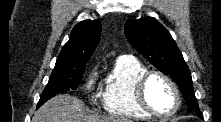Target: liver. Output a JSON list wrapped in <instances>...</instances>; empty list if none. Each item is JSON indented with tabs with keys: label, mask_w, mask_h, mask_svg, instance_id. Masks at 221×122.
I'll return each instance as SVG.
<instances>
[{
	"label": "liver",
	"mask_w": 221,
	"mask_h": 122,
	"mask_svg": "<svg viewBox=\"0 0 221 122\" xmlns=\"http://www.w3.org/2000/svg\"><path fill=\"white\" fill-rule=\"evenodd\" d=\"M33 122H131L127 118L87 115L84 103L75 96L57 95L37 111Z\"/></svg>",
	"instance_id": "obj_1"
}]
</instances>
